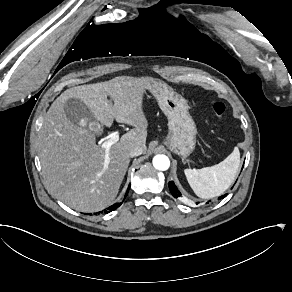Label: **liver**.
I'll use <instances>...</instances> for the list:
<instances>
[{
  "mask_svg": "<svg viewBox=\"0 0 292 292\" xmlns=\"http://www.w3.org/2000/svg\"><path fill=\"white\" fill-rule=\"evenodd\" d=\"M156 82L151 77H116L70 88L53 102L42 121L38 142L50 194L82 212L103 210L115 200L131 161L132 148L142 147L143 153L147 152L149 122L144 99L146 90ZM70 98L80 99L106 128L112 127L114 119L134 127L110 147L108 169L98 180L96 175L104 167L106 150L96 144L94 131L73 124L66 116L64 104Z\"/></svg>",
  "mask_w": 292,
  "mask_h": 292,
  "instance_id": "liver-1",
  "label": "liver"
}]
</instances>
